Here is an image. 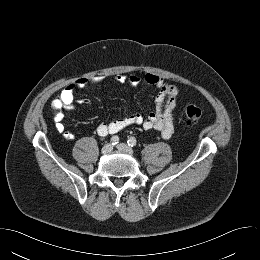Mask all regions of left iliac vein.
I'll use <instances>...</instances> for the list:
<instances>
[{"mask_svg":"<svg viewBox=\"0 0 260 260\" xmlns=\"http://www.w3.org/2000/svg\"><path fill=\"white\" fill-rule=\"evenodd\" d=\"M117 149L120 150V151H123V152H126L128 154H132L133 153V150L126 144L124 143H120L117 145Z\"/></svg>","mask_w":260,"mask_h":260,"instance_id":"left-iliac-vein-1","label":"left iliac vein"}]
</instances>
